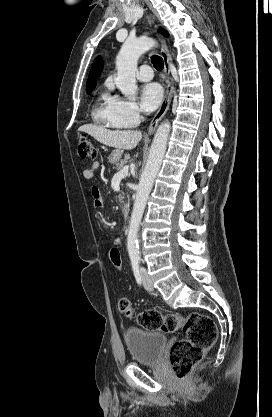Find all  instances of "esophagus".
I'll return each instance as SVG.
<instances>
[{
  "instance_id": "obj_1",
  "label": "esophagus",
  "mask_w": 272,
  "mask_h": 417,
  "mask_svg": "<svg viewBox=\"0 0 272 417\" xmlns=\"http://www.w3.org/2000/svg\"><path fill=\"white\" fill-rule=\"evenodd\" d=\"M153 19V18H152ZM161 57L164 62V72L166 75V94L165 98L163 100L162 105L160 106L158 112L155 114L154 118L152 119L149 128L148 133L152 134L156 130L159 122L161 119L165 116L166 112L169 109L170 101L172 97V93L174 90L172 79L170 78V66H171V56L168 52L166 43L163 39H161Z\"/></svg>"
}]
</instances>
